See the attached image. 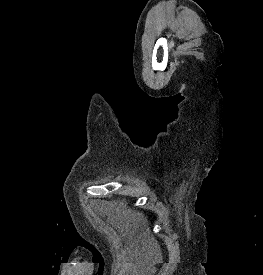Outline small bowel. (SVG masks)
<instances>
[{"label":"small bowel","mask_w":263,"mask_h":275,"mask_svg":"<svg viewBox=\"0 0 263 275\" xmlns=\"http://www.w3.org/2000/svg\"><path fill=\"white\" fill-rule=\"evenodd\" d=\"M141 263V257L138 255L134 256V260L131 262H125L117 275H128L130 272H134L136 267Z\"/></svg>","instance_id":"c3829d8e"}]
</instances>
